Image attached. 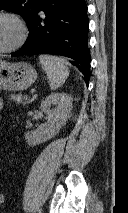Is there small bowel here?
<instances>
[{
    "label": "small bowel",
    "mask_w": 128,
    "mask_h": 213,
    "mask_svg": "<svg viewBox=\"0 0 128 213\" xmlns=\"http://www.w3.org/2000/svg\"><path fill=\"white\" fill-rule=\"evenodd\" d=\"M3 108V100L0 98V110Z\"/></svg>",
    "instance_id": "small-bowel-1"
}]
</instances>
